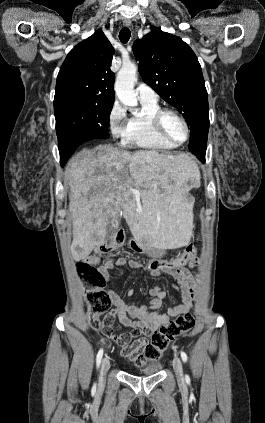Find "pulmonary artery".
<instances>
[{
	"label": "pulmonary artery",
	"mask_w": 265,
	"mask_h": 423,
	"mask_svg": "<svg viewBox=\"0 0 265 423\" xmlns=\"http://www.w3.org/2000/svg\"><path fill=\"white\" fill-rule=\"evenodd\" d=\"M136 92L140 101L154 102L158 99L157 93L146 84H139L136 88Z\"/></svg>",
	"instance_id": "pulmonary-artery-1"
}]
</instances>
